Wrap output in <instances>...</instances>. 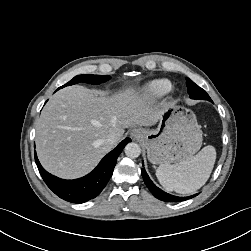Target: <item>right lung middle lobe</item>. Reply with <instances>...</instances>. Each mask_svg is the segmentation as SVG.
<instances>
[{
	"instance_id": "1",
	"label": "right lung middle lobe",
	"mask_w": 251,
	"mask_h": 251,
	"mask_svg": "<svg viewBox=\"0 0 251 251\" xmlns=\"http://www.w3.org/2000/svg\"><path fill=\"white\" fill-rule=\"evenodd\" d=\"M109 79H110V76L78 75V76H75L72 80H70L68 83H66L65 85H63L60 88H63L65 86H69V85H73V84H77L80 82H85V83H89V84H100V83L108 81Z\"/></svg>"
}]
</instances>
